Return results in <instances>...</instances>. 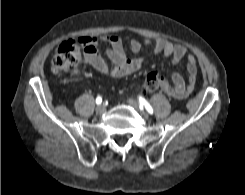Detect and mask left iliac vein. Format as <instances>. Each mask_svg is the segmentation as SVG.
<instances>
[{
    "label": "left iliac vein",
    "mask_w": 245,
    "mask_h": 195,
    "mask_svg": "<svg viewBox=\"0 0 245 195\" xmlns=\"http://www.w3.org/2000/svg\"><path fill=\"white\" fill-rule=\"evenodd\" d=\"M128 102H129V104H130L132 107H134L136 110H138V111L140 112V114H141L144 118H148V113H147L144 109L140 108V106H139V104H138V102H137L136 100L130 98V99L128 100Z\"/></svg>",
    "instance_id": "4c4485c4"
}]
</instances>
